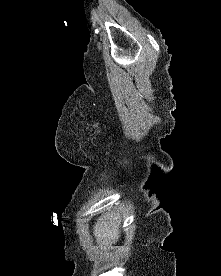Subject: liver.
Returning a JSON list of instances; mask_svg holds the SVG:
<instances>
[{
    "label": "liver",
    "instance_id": "obj_1",
    "mask_svg": "<svg viewBox=\"0 0 221 276\" xmlns=\"http://www.w3.org/2000/svg\"><path fill=\"white\" fill-rule=\"evenodd\" d=\"M121 215L116 211L101 215L93 227V234L98 244L110 245L120 237Z\"/></svg>",
    "mask_w": 221,
    "mask_h": 276
}]
</instances>
